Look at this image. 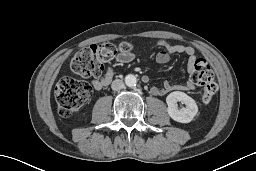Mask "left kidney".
Returning <instances> with one entry per match:
<instances>
[{"mask_svg": "<svg viewBox=\"0 0 256 171\" xmlns=\"http://www.w3.org/2000/svg\"><path fill=\"white\" fill-rule=\"evenodd\" d=\"M166 102L169 116L180 123L191 122L198 112V107L194 99L184 92L175 91L170 93L166 98ZM177 102L185 104L186 108L179 109Z\"/></svg>", "mask_w": 256, "mask_h": 171, "instance_id": "obj_1", "label": "left kidney"}]
</instances>
